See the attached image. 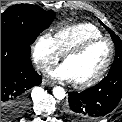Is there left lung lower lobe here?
Returning a JSON list of instances; mask_svg holds the SVG:
<instances>
[{
	"mask_svg": "<svg viewBox=\"0 0 122 122\" xmlns=\"http://www.w3.org/2000/svg\"><path fill=\"white\" fill-rule=\"evenodd\" d=\"M65 113L78 120H92L110 113L122 98V67L110 70L97 85L70 92Z\"/></svg>",
	"mask_w": 122,
	"mask_h": 122,
	"instance_id": "obj_1",
	"label": "left lung lower lobe"
}]
</instances>
